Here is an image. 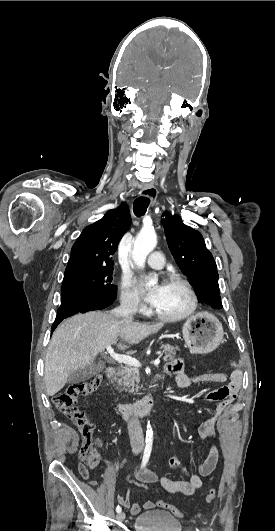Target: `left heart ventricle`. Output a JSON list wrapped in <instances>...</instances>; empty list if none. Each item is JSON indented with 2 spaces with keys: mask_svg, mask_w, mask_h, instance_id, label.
<instances>
[{
  "mask_svg": "<svg viewBox=\"0 0 275 531\" xmlns=\"http://www.w3.org/2000/svg\"><path fill=\"white\" fill-rule=\"evenodd\" d=\"M189 303V295L183 286L166 281L162 284L159 297L153 307L163 315H178L188 309Z\"/></svg>",
  "mask_w": 275,
  "mask_h": 531,
  "instance_id": "obj_1",
  "label": "left heart ventricle"
}]
</instances>
